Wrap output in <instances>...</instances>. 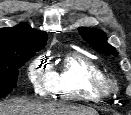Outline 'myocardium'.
<instances>
[{"label":"myocardium","instance_id":"myocardium-1","mask_svg":"<svg viewBox=\"0 0 131 115\" xmlns=\"http://www.w3.org/2000/svg\"><path fill=\"white\" fill-rule=\"evenodd\" d=\"M102 86L110 92L117 89L116 82L113 79L106 77L105 75L103 77Z\"/></svg>","mask_w":131,"mask_h":115}]
</instances>
